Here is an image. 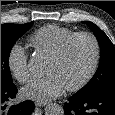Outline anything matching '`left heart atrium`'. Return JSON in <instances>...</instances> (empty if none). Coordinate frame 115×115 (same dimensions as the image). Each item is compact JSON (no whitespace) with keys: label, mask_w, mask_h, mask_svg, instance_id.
<instances>
[{"label":"left heart atrium","mask_w":115,"mask_h":115,"mask_svg":"<svg viewBox=\"0 0 115 115\" xmlns=\"http://www.w3.org/2000/svg\"><path fill=\"white\" fill-rule=\"evenodd\" d=\"M66 90L64 83L55 75L33 80L24 87L21 95L38 102H46L61 95Z\"/></svg>","instance_id":"1"}]
</instances>
